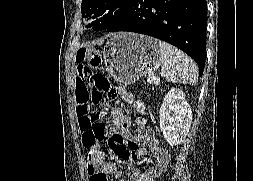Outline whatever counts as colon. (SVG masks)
Listing matches in <instances>:
<instances>
[{
	"label": "colon",
	"mask_w": 253,
	"mask_h": 181,
	"mask_svg": "<svg viewBox=\"0 0 253 181\" xmlns=\"http://www.w3.org/2000/svg\"><path fill=\"white\" fill-rule=\"evenodd\" d=\"M98 55H102V47H94L93 44L81 48L77 55L80 64L89 71L88 88L82 98L83 108L79 116V124L83 144L89 150V160L96 163L103 160L100 143L105 136V125L100 121V115L93 111V106L102 100L114 101L119 96L118 89L105 75L91 70L98 65Z\"/></svg>",
	"instance_id": "obj_1"
}]
</instances>
